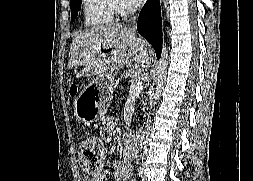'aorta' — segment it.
I'll return each instance as SVG.
<instances>
[{"mask_svg":"<svg viewBox=\"0 0 253 181\" xmlns=\"http://www.w3.org/2000/svg\"><path fill=\"white\" fill-rule=\"evenodd\" d=\"M167 66H168V50L166 46L165 35L163 33V48L157 65V79H156L157 86L154 94L155 100H159L161 96L163 85L166 81ZM147 126L149 127L150 125L148 124Z\"/></svg>","mask_w":253,"mask_h":181,"instance_id":"obj_1","label":"aorta"}]
</instances>
